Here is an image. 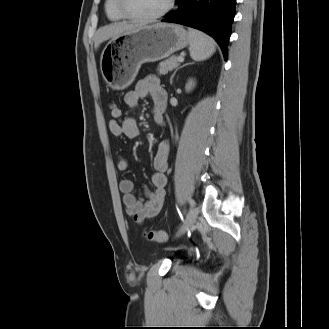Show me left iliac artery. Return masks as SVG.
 <instances>
[{
	"label": "left iliac artery",
	"mask_w": 329,
	"mask_h": 329,
	"mask_svg": "<svg viewBox=\"0 0 329 329\" xmlns=\"http://www.w3.org/2000/svg\"><path fill=\"white\" fill-rule=\"evenodd\" d=\"M188 201H189L190 205H192V206L195 204L194 200L191 198H188Z\"/></svg>",
	"instance_id": "1"
}]
</instances>
